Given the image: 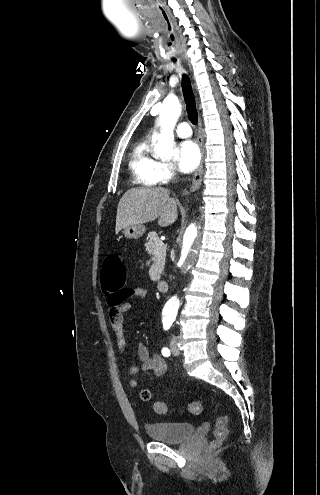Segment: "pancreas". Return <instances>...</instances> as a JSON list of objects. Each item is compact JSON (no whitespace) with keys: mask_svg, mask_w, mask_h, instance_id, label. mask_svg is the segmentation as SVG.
I'll return each instance as SVG.
<instances>
[{"mask_svg":"<svg viewBox=\"0 0 320 495\" xmlns=\"http://www.w3.org/2000/svg\"><path fill=\"white\" fill-rule=\"evenodd\" d=\"M160 239L156 232H150L146 239L145 247L149 254L155 255L153 258L154 264L151 266V269H156L158 275L163 271L165 260H166V247H160L158 244L160 243ZM158 249V251H157Z\"/></svg>","mask_w":320,"mask_h":495,"instance_id":"obj_1","label":"pancreas"}]
</instances>
